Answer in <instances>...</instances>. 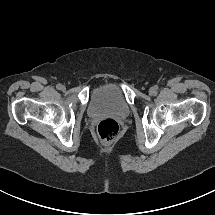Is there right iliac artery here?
<instances>
[{
    "label": "right iliac artery",
    "instance_id": "1",
    "mask_svg": "<svg viewBox=\"0 0 215 215\" xmlns=\"http://www.w3.org/2000/svg\"><path fill=\"white\" fill-rule=\"evenodd\" d=\"M61 84H57V86H56V88L58 89V90H60L61 89Z\"/></svg>",
    "mask_w": 215,
    "mask_h": 215
}]
</instances>
